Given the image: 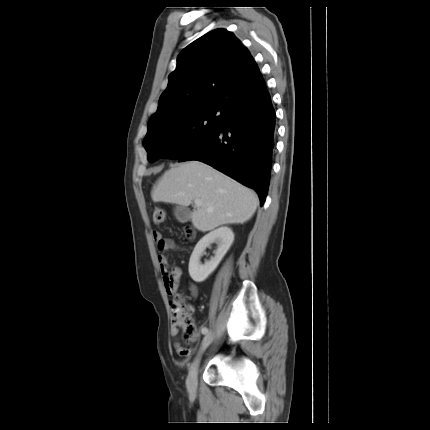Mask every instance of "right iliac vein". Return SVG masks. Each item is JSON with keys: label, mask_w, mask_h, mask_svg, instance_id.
I'll list each match as a JSON object with an SVG mask.
<instances>
[{"label": "right iliac vein", "mask_w": 430, "mask_h": 430, "mask_svg": "<svg viewBox=\"0 0 430 430\" xmlns=\"http://www.w3.org/2000/svg\"><path fill=\"white\" fill-rule=\"evenodd\" d=\"M212 340H213V334L212 333H208L207 335H205V337L202 341L201 347H200L194 361L192 362V364L190 366L188 377L186 380L187 390H188L190 396H195L197 393V384H198L197 376H198L199 364H200L201 357H202L203 353L206 351L208 346L211 344Z\"/></svg>", "instance_id": "right-iliac-vein-1"}]
</instances>
